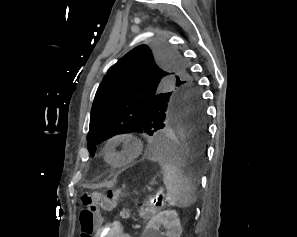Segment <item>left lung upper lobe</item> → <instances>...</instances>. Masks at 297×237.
<instances>
[{"mask_svg": "<svg viewBox=\"0 0 297 237\" xmlns=\"http://www.w3.org/2000/svg\"><path fill=\"white\" fill-rule=\"evenodd\" d=\"M178 100L204 107L179 52L160 42L134 48L108 70L96 92L87 135L91 156L96 144L116 134L152 136Z\"/></svg>", "mask_w": 297, "mask_h": 237, "instance_id": "left-lung-upper-lobe-1", "label": "left lung upper lobe"}]
</instances>
